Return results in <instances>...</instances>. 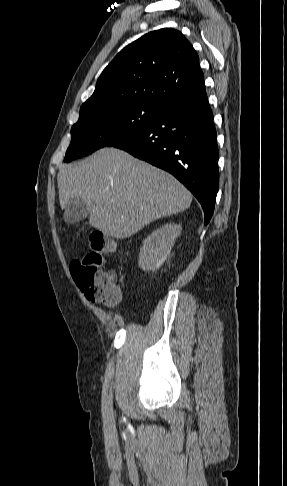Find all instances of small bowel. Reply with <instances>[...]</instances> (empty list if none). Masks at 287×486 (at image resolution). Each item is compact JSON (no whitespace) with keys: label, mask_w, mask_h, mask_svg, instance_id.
I'll list each match as a JSON object with an SVG mask.
<instances>
[{"label":"small bowel","mask_w":287,"mask_h":486,"mask_svg":"<svg viewBox=\"0 0 287 486\" xmlns=\"http://www.w3.org/2000/svg\"><path fill=\"white\" fill-rule=\"evenodd\" d=\"M112 276H113V278H114V280H115V278H116V277H115V275H114V274H112Z\"/></svg>","instance_id":"c3829d8e"}]
</instances>
